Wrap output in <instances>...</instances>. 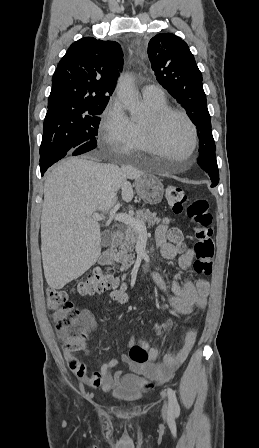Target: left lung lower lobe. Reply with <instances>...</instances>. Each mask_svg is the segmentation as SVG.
<instances>
[{
    "mask_svg": "<svg viewBox=\"0 0 259 448\" xmlns=\"http://www.w3.org/2000/svg\"><path fill=\"white\" fill-rule=\"evenodd\" d=\"M198 165L210 176L212 181L211 187H215L219 182L215 149L200 154L198 157Z\"/></svg>",
    "mask_w": 259,
    "mask_h": 448,
    "instance_id": "1",
    "label": "left lung lower lobe"
}]
</instances>
